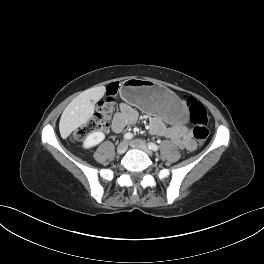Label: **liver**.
Returning a JSON list of instances; mask_svg holds the SVG:
<instances>
[{
    "mask_svg": "<svg viewBox=\"0 0 264 264\" xmlns=\"http://www.w3.org/2000/svg\"><path fill=\"white\" fill-rule=\"evenodd\" d=\"M105 92V86L92 87L83 91L67 105L59 123L62 138H67L93 116L95 103L104 96Z\"/></svg>",
    "mask_w": 264,
    "mask_h": 264,
    "instance_id": "obj_1",
    "label": "liver"
}]
</instances>
